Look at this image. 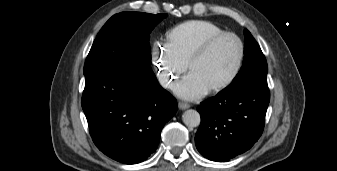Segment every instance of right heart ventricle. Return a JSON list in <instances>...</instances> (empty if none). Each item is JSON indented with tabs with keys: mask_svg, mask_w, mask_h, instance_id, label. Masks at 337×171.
<instances>
[{
	"mask_svg": "<svg viewBox=\"0 0 337 171\" xmlns=\"http://www.w3.org/2000/svg\"><path fill=\"white\" fill-rule=\"evenodd\" d=\"M222 32L224 30L212 21L189 20L167 33L166 46L186 64L202 42Z\"/></svg>",
	"mask_w": 337,
	"mask_h": 171,
	"instance_id": "obj_1",
	"label": "right heart ventricle"
}]
</instances>
